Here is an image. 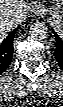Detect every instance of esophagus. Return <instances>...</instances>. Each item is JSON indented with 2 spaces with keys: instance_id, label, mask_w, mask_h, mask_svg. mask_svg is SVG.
Returning a JSON list of instances; mask_svg holds the SVG:
<instances>
[{
  "instance_id": "esophagus-1",
  "label": "esophagus",
  "mask_w": 63,
  "mask_h": 107,
  "mask_svg": "<svg viewBox=\"0 0 63 107\" xmlns=\"http://www.w3.org/2000/svg\"><path fill=\"white\" fill-rule=\"evenodd\" d=\"M31 13L33 16H39L44 13V8L39 5H34L31 9Z\"/></svg>"
}]
</instances>
